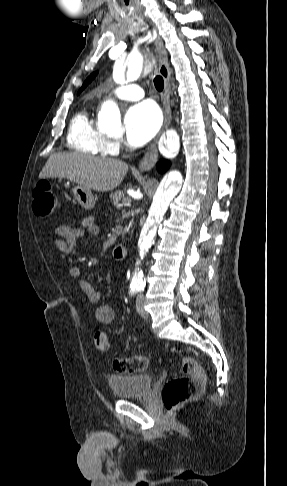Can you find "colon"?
I'll return each instance as SVG.
<instances>
[{"label": "colon", "instance_id": "obj_1", "mask_svg": "<svg viewBox=\"0 0 287 486\" xmlns=\"http://www.w3.org/2000/svg\"><path fill=\"white\" fill-rule=\"evenodd\" d=\"M57 198L52 185L47 180L36 183L33 189V211L39 217L49 216L56 208ZM94 346L99 351H107L109 342L102 331L94 334ZM182 374L169 380L163 388L162 397L165 408L174 411L185 402L197 396L205 384V376L196 360L185 356L181 359ZM149 361L144 356L116 358L111 367L118 373H135L145 370Z\"/></svg>", "mask_w": 287, "mask_h": 486}]
</instances>
